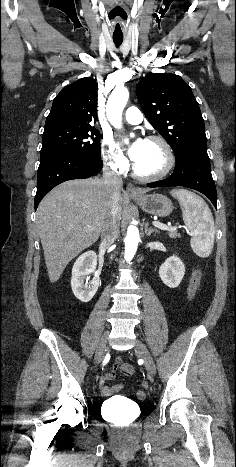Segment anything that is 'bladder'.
<instances>
[{"mask_svg":"<svg viewBox=\"0 0 236 467\" xmlns=\"http://www.w3.org/2000/svg\"><path fill=\"white\" fill-rule=\"evenodd\" d=\"M107 404L108 405H104L102 409L109 416H111L112 412L116 409H122L125 412L126 415L123 418H119L114 422L119 427H127L130 424V414L132 410H134L137 415L141 412L140 405L135 403H126L118 399H109Z\"/></svg>","mask_w":236,"mask_h":467,"instance_id":"obj_1","label":"bladder"}]
</instances>
